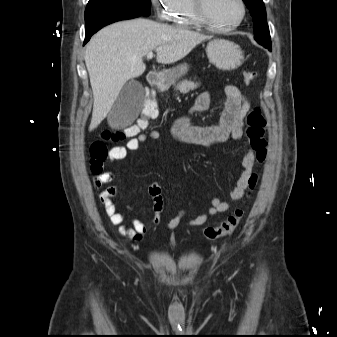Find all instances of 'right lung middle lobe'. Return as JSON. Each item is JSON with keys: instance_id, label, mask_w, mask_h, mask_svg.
Listing matches in <instances>:
<instances>
[{"instance_id": "1", "label": "right lung middle lobe", "mask_w": 337, "mask_h": 337, "mask_svg": "<svg viewBox=\"0 0 337 337\" xmlns=\"http://www.w3.org/2000/svg\"><path fill=\"white\" fill-rule=\"evenodd\" d=\"M150 0H89L85 21L102 13L125 11L143 16L150 15Z\"/></svg>"}]
</instances>
